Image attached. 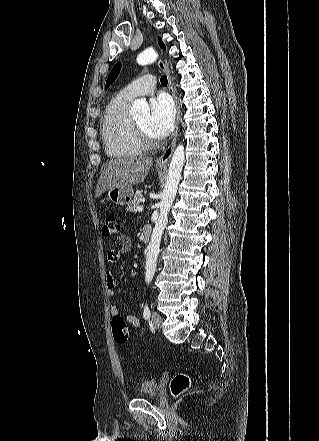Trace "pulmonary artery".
<instances>
[{"label": "pulmonary artery", "instance_id": "pulmonary-artery-1", "mask_svg": "<svg viewBox=\"0 0 319 441\" xmlns=\"http://www.w3.org/2000/svg\"><path fill=\"white\" fill-rule=\"evenodd\" d=\"M156 85V79L152 75L142 76L120 91V95L126 99H134L138 96L151 94Z\"/></svg>", "mask_w": 319, "mask_h": 441}]
</instances>
